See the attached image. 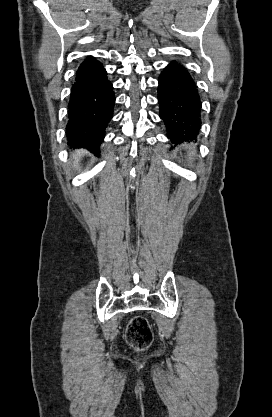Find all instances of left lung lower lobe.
<instances>
[{"instance_id":"obj_1","label":"left lung lower lobe","mask_w":272,"mask_h":417,"mask_svg":"<svg viewBox=\"0 0 272 417\" xmlns=\"http://www.w3.org/2000/svg\"><path fill=\"white\" fill-rule=\"evenodd\" d=\"M158 102L167 137L174 143L193 140L201 127V99L185 67L172 61L158 79Z\"/></svg>"}]
</instances>
